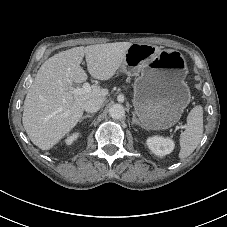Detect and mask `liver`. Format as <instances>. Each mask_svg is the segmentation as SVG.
Masks as SVG:
<instances>
[{
  "instance_id": "obj_1",
  "label": "liver",
  "mask_w": 227,
  "mask_h": 227,
  "mask_svg": "<svg viewBox=\"0 0 227 227\" xmlns=\"http://www.w3.org/2000/svg\"><path fill=\"white\" fill-rule=\"evenodd\" d=\"M131 44L74 47L55 54L41 65L23 106V126L33 144L49 150L77 125L87 100L108 95V89L100 85H93L88 93H73V84L88 78L80 65L83 57L93 78L109 80L122 65Z\"/></svg>"
}]
</instances>
